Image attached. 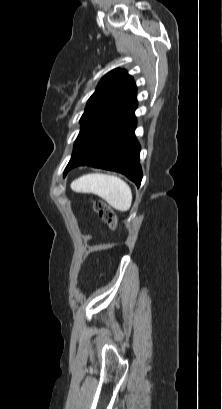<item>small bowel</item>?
<instances>
[{"mask_svg": "<svg viewBox=\"0 0 222 409\" xmlns=\"http://www.w3.org/2000/svg\"><path fill=\"white\" fill-rule=\"evenodd\" d=\"M113 246H114L113 244H109V245H108V247H110V248L113 247Z\"/></svg>", "mask_w": 222, "mask_h": 409, "instance_id": "c3829d8e", "label": "small bowel"}]
</instances>
